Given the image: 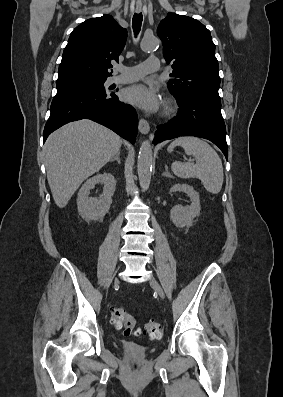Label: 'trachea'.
Instances as JSON below:
<instances>
[{
    "instance_id": "obj_1",
    "label": "trachea",
    "mask_w": 283,
    "mask_h": 397,
    "mask_svg": "<svg viewBox=\"0 0 283 397\" xmlns=\"http://www.w3.org/2000/svg\"><path fill=\"white\" fill-rule=\"evenodd\" d=\"M142 20H143V16L142 13H135L133 15V19H132V28L134 31L135 36L138 35V33L141 30V24H142Z\"/></svg>"
}]
</instances>
